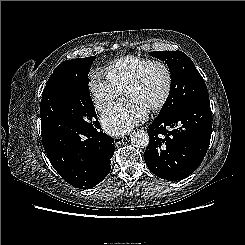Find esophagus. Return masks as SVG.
Returning a JSON list of instances; mask_svg holds the SVG:
<instances>
[{"label":"esophagus","instance_id":"obj_1","mask_svg":"<svg viewBox=\"0 0 245 245\" xmlns=\"http://www.w3.org/2000/svg\"><path fill=\"white\" fill-rule=\"evenodd\" d=\"M124 138H125L124 136H115V137H114V143H115L116 145H118V144H120V143L123 142Z\"/></svg>","mask_w":245,"mask_h":245}]
</instances>
